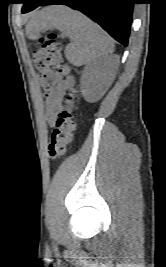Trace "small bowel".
Masks as SVG:
<instances>
[{
  "label": "small bowel",
  "instance_id": "obj_1",
  "mask_svg": "<svg viewBox=\"0 0 166 267\" xmlns=\"http://www.w3.org/2000/svg\"><path fill=\"white\" fill-rule=\"evenodd\" d=\"M71 84L70 79L61 80L50 93L47 100V122L53 125L57 111L62 106V96Z\"/></svg>",
  "mask_w": 166,
  "mask_h": 267
}]
</instances>
